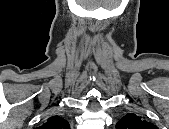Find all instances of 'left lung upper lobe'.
<instances>
[{
  "label": "left lung upper lobe",
  "instance_id": "left-lung-upper-lobe-1",
  "mask_svg": "<svg viewBox=\"0 0 169 129\" xmlns=\"http://www.w3.org/2000/svg\"><path fill=\"white\" fill-rule=\"evenodd\" d=\"M118 129H155L156 126L152 123H149L145 120H142L140 117L135 114H126L122 117L116 124Z\"/></svg>",
  "mask_w": 169,
  "mask_h": 129
}]
</instances>
